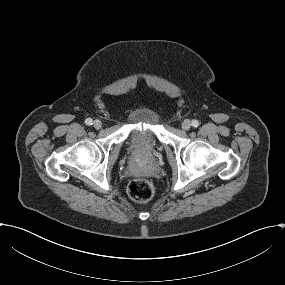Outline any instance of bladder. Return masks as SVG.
<instances>
[{
    "label": "bladder",
    "instance_id": "1",
    "mask_svg": "<svg viewBox=\"0 0 285 285\" xmlns=\"http://www.w3.org/2000/svg\"><path fill=\"white\" fill-rule=\"evenodd\" d=\"M132 119L136 124L126 142L127 149L135 154L150 157L156 153L159 147V137L156 123L159 114L151 108H137L132 112Z\"/></svg>",
    "mask_w": 285,
    "mask_h": 285
}]
</instances>
